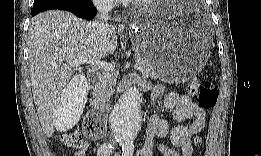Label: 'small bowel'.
Listing matches in <instances>:
<instances>
[{
  "label": "small bowel",
  "mask_w": 261,
  "mask_h": 156,
  "mask_svg": "<svg viewBox=\"0 0 261 156\" xmlns=\"http://www.w3.org/2000/svg\"><path fill=\"white\" fill-rule=\"evenodd\" d=\"M165 88L163 85H156L152 89V99L154 107H157L156 100L163 94ZM163 107L167 110H173L172 120L179 123L169 131L168 122L155 114L151 116L146 137L143 145L136 151V155L153 156L157 151L162 156H191L193 147L192 137L201 132L205 127L206 113L194 103L187 95H180L176 92H169L163 100ZM190 121L188 125L181 123ZM169 135L172 147L163 143L155 144V138H165ZM89 149V142L84 141L83 145L75 151L76 156H85Z\"/></svg>",
  "instance_id": "c3829d8e"
}]
</instances>
